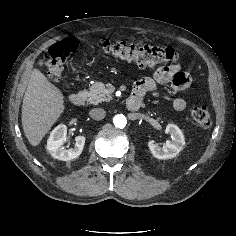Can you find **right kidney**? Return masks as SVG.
<instances>
[{"instance_id": "obj_1", "label": "right kidney", "mask_w": 236, "mask_h": 236, "mask_svg": "<svg viewBox=\"0 0 236 236\" xmlns=\"http://www.w3.org/2000/svg\"><path fill=\"white\" fill-rule=\"evenodd\" d=\"M67 126L64 124L58 125L50 133V137L47 141V150L51 156L55 159L62 161H70L76 159L82 153L85 145L84 136L75 137V146L73 149H65L63 145L67 140Z\"/></svg>"}]
</instances>
